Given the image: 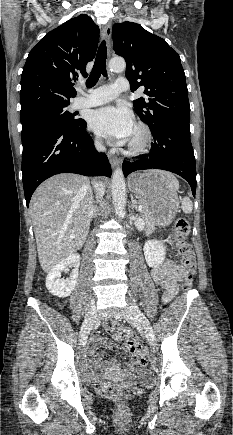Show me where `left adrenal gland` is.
Masks as SVG:
<instances>
[{"mask_svg":"<svg viewBox=\"0 0 233 435\" xmlns=\"http://www.w3.org/2000/svg\"><path fill=\"white\" fill-rule=\"evenodd\" d=\"M132 208L138 211L137 202L134 200L133 196H131Z\"/></svg>","mask_w":233,"mask_h":435,"instance_id":"a2214340","label":"left adrenal gland"}]
</instances>
